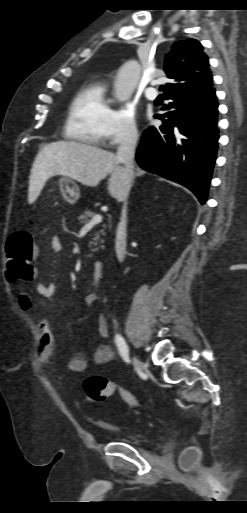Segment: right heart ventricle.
<instances>
[{
    "label": "right heart ventricle",
    "mask_w": 247,
    "mask_h": 513,
    "mask_svg": "<svg viewBox=\"0 0 247 513\" xmlns=\"http://www.w3.org/2000/svg\"><path fill=\"white\" fill-rule=\"evenodd\" d=\"M106 85L102 81L84 84L70 103L63 135L67 140L101 145L111 112Z\"/></svg>",
    "instance_id": "obj_1"
}]
</instances>
